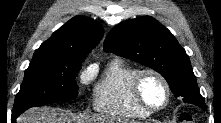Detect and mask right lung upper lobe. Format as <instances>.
Returning a JSON list of instances; mask_svg holds the SVG:
<instances>
[{
    "label": "right lung upper lobe",
    "instance_id": "1",
    "mask_svg": "<svg viewBox=\"0 0 221 123\" xmlns=\"http://www.w3.org/2000/svg\"><path fill=\"white\" fill-rule=\"evenodd\" d=\"M98 22L84 16H75L35 51L33 58L47 60L83 61L103 36Z\"/></svg>",
    "mask_w": 221,
    "mask_h": 123
}]
</instances>
